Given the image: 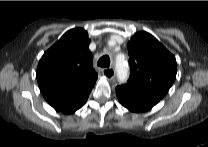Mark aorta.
Masks as SVG:
<instances>
[{"label":"aorta","instance_id":"aorta-1","mask_svg":"<svg viewBox=\"0 0 208 147\" xmlns=\"http://www.w3.org/2000/svg\"><path fill=\"white\" fill-rule=\"evenodd\" d=\"M116 71L118 81L124 83L128 79V67L125 60L120 57L116 59Z\"/></svg>","mask_w":208,"mask_h":147}]
</instances>
